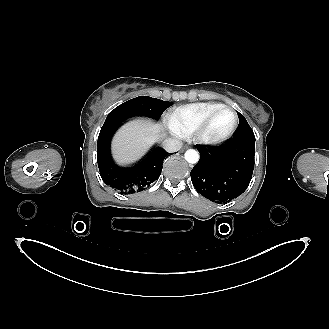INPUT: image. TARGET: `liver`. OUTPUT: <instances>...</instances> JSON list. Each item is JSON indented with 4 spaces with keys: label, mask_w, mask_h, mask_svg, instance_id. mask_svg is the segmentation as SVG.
<instances>
[{
    "label": "liver",
    "mask_w": 329,
    "mask_h": 329,
    "mask_svg": "<svg viewBox=\"0 0 329 329\" xmlns=\"http://www.w3.org/2000/svg\"><path fill=\"white\" fill-rule=\"evenodd\" d=\"M161 124L146 120H133L123 125L113 139V154L120 164L139 159L161 135Z\"/></svg>",
    "instance_id": "obj_1"
}]
</instances>
